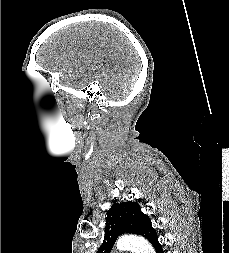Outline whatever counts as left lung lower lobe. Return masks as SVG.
I'll list each match as a JSON object with an SVG mask.
<instances>
[{
    "label": "left lung lower lobe",
    "instance_id": "1",
    "mask_svg": "<svg viewBox=\"0 0 229 253\" xmlns=\"http://www.w3.org/2000/svg\"><path fill=\"white\" fill-rule=\"evenodd\" d=\"M153 247L156 251V253H164L161 244L158 242V240L153 244Z\"/></svg>",
    "mask_w": 229,
    "mask_h": 253
}]
</instances>
